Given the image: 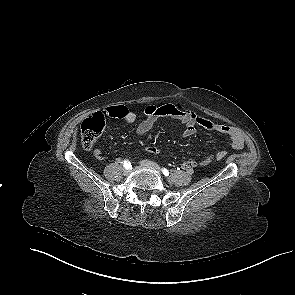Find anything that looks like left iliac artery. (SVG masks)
Here are the masks:
<instances>
[{
	"label": "left iliac artery",
	"mask_w": 295,
	"mask_h": 295,
	"mask_svg": "<svg viewBox=\"0 0 295 295\" xmlns=\"http://www.w3.org/2000/svg\"><path fill=\"white\" fill-rule=\"evenodd\" d=\"M162 173L165 175V176H168L169 175V171L165 168H162Z\"/></svg>",
	"instance_id": "44dca946"
}]
</instances>
